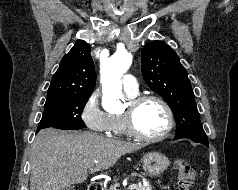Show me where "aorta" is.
<instances>
[{"mask_svg":"<svg viewBox=\"0 0 238 190\" xmlns=\"http://www.w3.org/2000/svg\"><path fill=\"white\" fill-rule=\"evenodd\" d=\"M131 64L132 55L126 50L117 51L102 64V105L106 111H112L122 106L123 94L120 79Z\"/></svg>","mask_w":238,"mask_h":190,"instance_id":"1","label":"aorta"}]
</instances>
